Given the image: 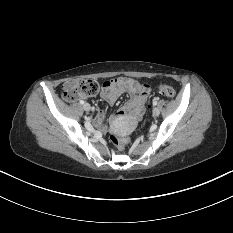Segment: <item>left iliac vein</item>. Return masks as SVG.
<instances>
[{
    "label": "left iliac vein",
    "mask_w": 233,
    "mask_h": 233,
    "mask_svg": "<svg viewBox=\"0 0 233 233\" xmlns=\"http://www.w3.org/2000/svg\"><path fill=\"white\" fill-rule=\"evenodd\" d=\"M154 117H157L160 114V109L155 107L152 111Z\"/></svg>",
    "instance_id": "4c4485c4"
}]
</instances>
